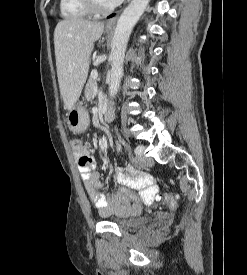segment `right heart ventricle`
<instances>
[{
  "mask_svg": "<svg viewBox=\"0 0 247 275\" xmlns=\"http://www.w3.org/2000/svg\"><path fill=\"white\" fill-rule=\"evenodd\" d=\"M60 12L66 19H82L90 15L81 0H60Z\"/></svg>",
  "mask_w": 247,
  "mask_h": 275,
  "instance_id": "e07e8e85",
  "label": "right heart ventricle"
}]
</instances>
